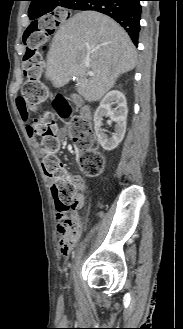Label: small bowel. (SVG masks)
Returning <instances> with one entry per match:
<instances>
[{"label":"small bowel","instance_id":"obj_1","mask_svg":"<svg viewBox=\"0 0 183 329\" xmlns=\"http://www.w3.org/2000/svg\"><path fill=\"white\" fill-rule=\"evenodd\" d=\"M20 115H21V119L23 120V122L26 125V130H27L29 137L32 139L34 145H36L37 142L34 138V134H33V131H32L31 125H30L31 124L30 114H20ZM60 136H63V132H61ZM69 176L78 184V208H80L84 204V194H83V191L85 189L84 181L76 175H69ZM65 218L69 219L75 226H77V228L79 229V233H80V230L82 229V222H81L80 216L77 213V211H73L69 215H65ZM57 229L63 235L60 245H59L60 253L64 256H67L71 252L73 245H70L66 242V235L63 233L62 225H61L60 221L58 222ZM76 241H77V239H76Z\"/></svg>","mask_w":183,"mask_h":329}]
</instances>
